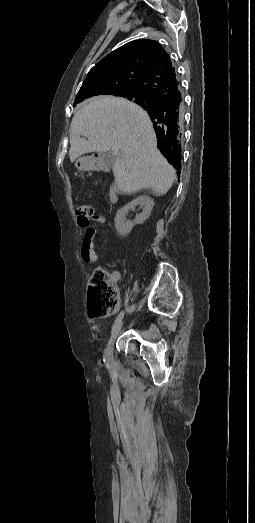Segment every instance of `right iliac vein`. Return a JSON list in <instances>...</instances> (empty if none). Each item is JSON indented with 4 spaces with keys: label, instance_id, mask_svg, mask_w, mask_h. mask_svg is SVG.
Wrapping results in <instances>:
<instances>
[{
    "label": "right iliac vein",
    "instance_id": "1",
    "mask_svg": "<svg viewBox=\"0 0 255 523\" xmlns=\"http://www.w3.org/2000/svg\"><path fill=\"white\" fill-rule=\"evenodd\" d=\"M122 326H123V322H120L118 327L116 328V330L113 332L111 339L109 340V342L107 344L106 356H107L108 361H110L112 359L114 342H115Z\"/></svg>",
    "mask_w": 255,
    "mask_h": 523
}]
</instances>
